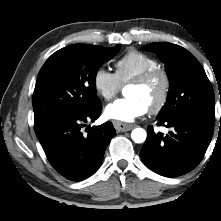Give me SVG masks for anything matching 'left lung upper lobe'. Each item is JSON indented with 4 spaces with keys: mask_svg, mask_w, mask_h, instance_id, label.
Instances as JSON below:
<instances>
[{
    "mask_svg": "<svg viewBox=\"0 0 221 221\" xmlns=\"http://www.w3.org/2000/svg\"><path fill=\"white\" fill-rule=\"evenodd\" d=\"M143 49L155 52L164 61L170 81L167 101L157 118L192 114L214 124V92L197 59L183 47L168 42L150 43Z\"/></svg>",
    "mask_w": 221,
    "mask_h": 221,
    "instance_id": "left-lung-upper-lobe-1",
    "label": "left lung upper lobe"
}]
</instances>
